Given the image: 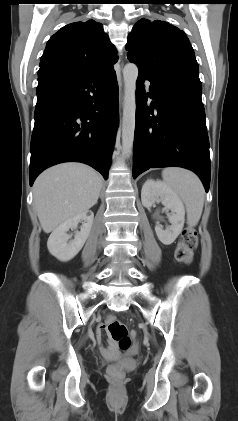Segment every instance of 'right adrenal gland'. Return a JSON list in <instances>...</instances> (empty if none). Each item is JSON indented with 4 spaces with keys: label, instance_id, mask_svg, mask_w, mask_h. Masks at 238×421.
Instances as JSON below:
<instances>
[{
    "label": "right adrenal gland",
    "instance_id": "obj_1",
    "mask_svg": "<svg viewBox=\"0 0 238 421\" xmlns=\"http://www.w3.org/2000/svg\"><path fill=\"white\" fill-rule=\"evenodd\" d=\"M101 195H102V191H101V193H100V197H101Z\"/></svg>",
    "mask_w": 238,
    "mask_h": 421
}]
</instances>
